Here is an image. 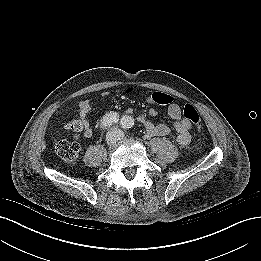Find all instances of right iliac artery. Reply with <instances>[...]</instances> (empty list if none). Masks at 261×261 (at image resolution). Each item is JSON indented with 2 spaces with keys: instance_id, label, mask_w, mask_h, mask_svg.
Returning <instances> with one entry per match:
<instances>
[{
  "instance_id": "82829eb1",
  "label": "right iliac artery",
  "mask_w": 261,
  "mask_h": 261,
  "mask_svg": "<svg viewBox=\"0 0 261 261\" xmlns=\"http://www.w3.org/2000/svg\"><path fill=\"white\" fill-rule=\"evenodd\" d=\"M119 120V115L114 112H110L106 115H104L103 119L101 120V125L100 127L102 129H107L111 125H114L116 122Z\"/></svg>"
}]
</instances>
